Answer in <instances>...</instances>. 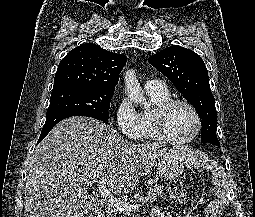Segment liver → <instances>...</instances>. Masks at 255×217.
<instances>
[{"mask_svg": "<svg viewBox=\"0 0 255 217\" xmlns=\"http://www.w3.org/2000/svg\"><path fill=\"white\" fill-rule=\"evenodd\" d=\"M189 159L198 152L177 147ZM157 143L133 144L98 120L75 116L58 123L36 147L25 186V217H84L92 207L84 179L106 180L128 193L167 152Z\"/></svg>", "mask_w": 255, "mask_h": 217, "instance_id": "obj_1", "label": "liver"}]
</instances>
